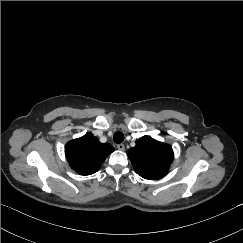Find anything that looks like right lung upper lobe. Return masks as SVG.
<instances>
[{
    "instance_id": "1",
    "label": "right lung upper lobe",
    "mask_w": 243,
    "mask_h": 243,
    "mask_svg": "<svg viewBox=\"0 0 243 243\" xmlns=\"http://www.w3.org/2000/svg\"><path fill=\"white\" fill-rule=\"evenodd\" d=\"M114 151L108 143H100L92 133L69 141L65 147L66 158L71 168L80 175H91L98 171L100 164Z\"/></svg>"
}]
</instances>
